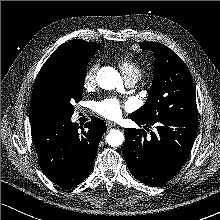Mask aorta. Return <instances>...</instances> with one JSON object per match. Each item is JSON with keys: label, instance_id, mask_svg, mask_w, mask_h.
I'll return each mask as SVG.
<instances>
[{"label": "aorta", "instance_id": "aorta-1", "mask_svg": "<svg viewBox=\"0 0 220 220\" xmlns=\"http://www.w3.org/2000/svg\"><path fill=\"white\" fill-rule=\"evenodd\" d=\"M98 85L105 90H111L122 85L120 74L112 67H103L96 77ZM106 142L112 147H118L124 142V135L120 130L112 129L106 136Z\"/></svg>", "mask_w": 220, "mask_h": 220}]
</instances>
